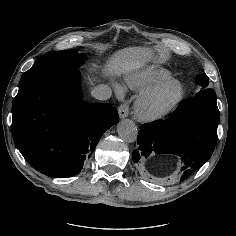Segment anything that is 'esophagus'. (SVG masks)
<instances>
[{
	"label": "esophagus",
	"instance_id": "esophagus-1",
	"mask_svg": "<svg viewBox=\"0 0 236 236\" xmlns=\"http://www.w3.org/2000/svg\"><path fill=\"white\" fill-rule=\"evenodd\" d=\"M129 108L130 104L128 102H124L123 104H121L118 108L119 117L120 118L127 117L129 114Z\"/></svg>",
	"mask_w": 236,
	"mask_h": 236
}]
</instances>
